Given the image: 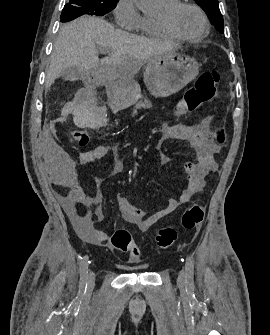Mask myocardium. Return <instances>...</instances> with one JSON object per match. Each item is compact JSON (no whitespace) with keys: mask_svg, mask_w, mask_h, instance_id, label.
Wrapping results in <instances>:
<instances>
[{"mask_svg":"<svg viewBox=\"0 0 270 335\" xmlns=\"http://www.w3.org/2000/svg\"><path fill=\"white\" fill-rule=\"evenodd\" d=\"M184 5L193 7L200 15L202 22H203V26H204L202 33L197 34V35H185L176 28L175 16L177 12L179 11V9ZM157 21L168 34H170L171 36L175 38L182 39V40H188V41L199 40V39L206 37L210 31L209 21L205 13L198 5H196L195 3L191 1L177 2L174 5L170 6L169 8L163 9L161 14L157 17Z\"/></svg>","mask_w":270,"mask_h":335,"instance_id":"1","label":"myocardium"}]
</instances>
